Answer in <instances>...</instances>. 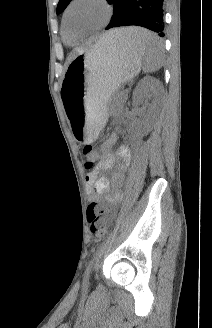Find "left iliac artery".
Wrapping results in <instances>:
<instances>
[{
  "label": "left iliac artery",
  "mask_w": 212,
  "mask_h": 328,
  "mask_svg": "<svg viewBox=\"0 0 212 328\" xmlns=\"http://www.w3.org/2000/svg\"><path fill=\"white\" fill-rule=\"evenodd\" d=\"M92 264H93V261H90L87 268H86V271H85V281H87L89 279V275H90V272H91V267H92Z\"/></svg>",
  "instance_id": "1"
}]
</instances>
